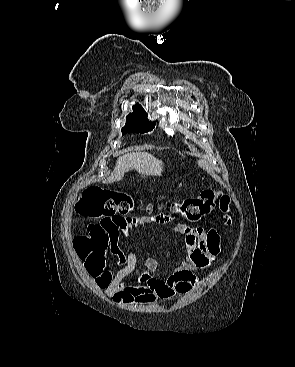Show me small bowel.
Here are the masks:
<instances>
[{"instance_id": "1", "label": "small bowel", "mask_w": 295, "mask_h": 367, "mask_svg": "<svg viewBox=\"0 0 295 367\" xmlns=\"http://www.w3.org/2000/svg\"><path fill=\"white\" fill-rule=\"evenodd\" d=\"M175 221L169 212H155L151 217L117 218L101 221L106 243L110 252L119 259L120 267L116 271L104 269L93 276L96 285L105 291L108 298L117 305L147 304L156 299L173 300L178 294H185L199 284L200 280L194 274L197 270L209 268L219 253L218 241L213 244L210 234L201 227H191L185 223H177L175 231L183 236L187 250L185 259L174 267L166 279L154 277L159 264L153 257L143 260L144 272L140 274L135 284L126 279L135 270L138 258L129 250L124 252L119 247L121 235L127 236L129 230L141 224L167 225ZM215 235V234H214Z\"/></svg>"}]
</instances>
